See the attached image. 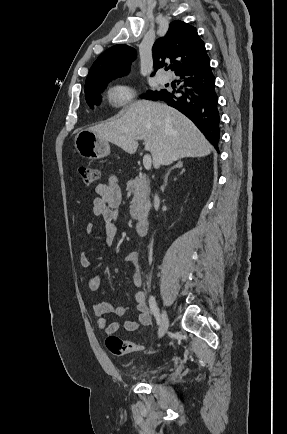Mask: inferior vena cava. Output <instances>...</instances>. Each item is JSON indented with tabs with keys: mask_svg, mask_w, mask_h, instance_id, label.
<instances>
[{
	"mask_svg": "<svg viewBox=\"0 0 287 434\" xmlns=\"http://www.w3.org/2000/svg\"><path fill=\"white\" fill-rule=\"evenodd\" d=\"M154 203H155V204H158V203H159V197H158L157 195H155V197H154Z\"/></svg>",
	"mask_w": 287,
	"mask_h": 434,
	"instance_id": "inferior-vena-cava-1",
	"label": "inferior vena cava"
}]
</instances>
